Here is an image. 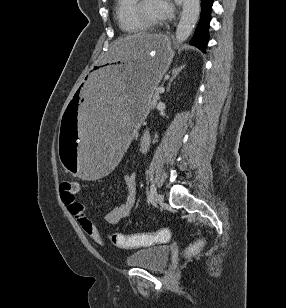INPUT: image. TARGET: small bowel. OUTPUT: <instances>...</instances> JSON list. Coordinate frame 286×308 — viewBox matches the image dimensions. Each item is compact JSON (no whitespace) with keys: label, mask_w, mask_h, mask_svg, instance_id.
Wrapping results in <instances>:
<instances>
[{"label":"small bowel","mask_w":286,"mask_h":308,"mask_svg":"<svg viewBox=\"0 0 286 308\" xmlns=\"http://www.w3.org/2000/svg\"><path fill=\"white\" fill-rule=\"evenodd\" d=\"M149 147V140H140V150L146 152ZM124 183L127 188L125 201L119 206L111 209L106 215V221L111 225H118L128 217L136 203V174L130 173L124 176ZM65 205L68 206L70 213L75 217L83 231L90 236L96 243L102 245L103 237L85 212V207L76 201L75 197H62Z\"/></svg>","instance_id":"small-bowel-1"}]
</instances>
